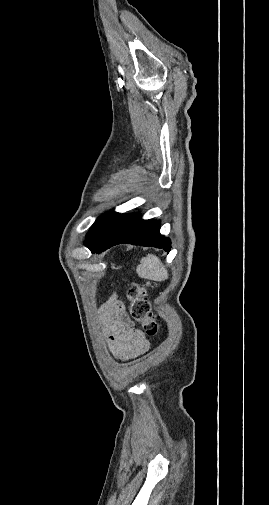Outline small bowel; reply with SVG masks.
<instances>
[{
	"mask_svg": "<svg viewBox=\"0 0 269 505\" xmlns=\"http://www.w3.org/2000/svg\"><path fill=\"white\" fill-rule=\"evenodd\" d=\"M99 314L109 346L117 358L133 359L149 349L145 334L135 328L116 296L101 307Z\"/></svg>",
	"mask_w": 269,
	"mask_h": 505,
	"instance_id": "c3829d8e",
	"label": "small bowel"
}]
</instances>
